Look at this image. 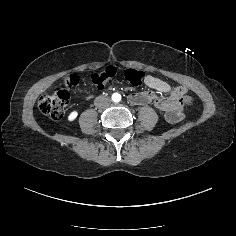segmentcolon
Instances as JSON below:
<instances>
[{"label":"colon","mask_w":236,"mask_h":236,"mask_svg":"<svg viewBox=\"0 0 236 236\" xmlns=\"http://www.w3.org/2000/svg\"><path fill=\"white\" fill-rule=\"evenodd\" d=\"M116 75V69L112 66L105 70L93 73L87 77V83L98 88L103 89L106 85L112 82ZM126 79L132 85H140L144 79V73L135 69H128L126 71ZM80 82V77L75 74H69L64 79V86L57 87L52 93L42 95L38 101V108L40 112L52 119L59 120L65 113L66 106L69 103L70 93L69 89L77 86ZM176 95L181 104L191 105L193 102L192 96L184 88H178Z\"/></svg>","instance_id":"obj_1"}]
</instances>
